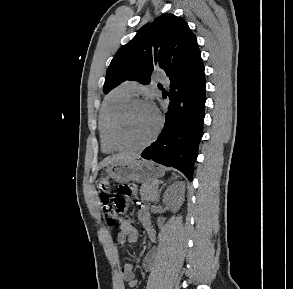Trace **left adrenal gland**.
<instances>
[{"label": "left adrenal gland", "instance_id": "a2214340", "mask_svg": "<svg viewBox=\"0 0 293 289\" xmlns=\"http://www.w3.org/2000/svg\"><path fill=\"white\" fill-rule=\"evenodd\" d=\"M177 175H173V178H177ZM165 184H163V186L159 189L158 194L161 193L162 189L164 188ZM158 202V201H157Z\"/></svg>", "mask_w": 293, "mask_h": 289}]
</instances>
